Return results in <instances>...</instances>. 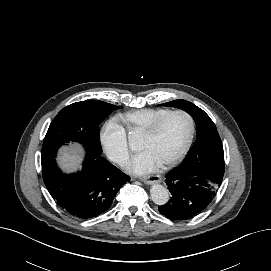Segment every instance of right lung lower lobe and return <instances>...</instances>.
I'll return each instance as SVG.
<instances>
[{"label":"right lung lower lobe","mask_w":271,"mask_h":271,"mask_svg":"<svg viewBox=\"0 0 271 271\" xmlns=\"http://www.w3.org/2000/svg\"><path fill=\"white\" fill-rule=\"evenodd\" d=\"M83 168L63 174L55 157L42 159L44 183L53 199L69 214L88 219L108 210L118 190L129 177L101 154L86 150Z\"/></svg>","instance_id":"obj_1"}]
</instances>
